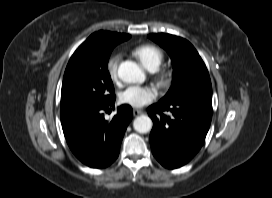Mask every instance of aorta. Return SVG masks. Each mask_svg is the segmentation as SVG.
Returning <instances> with one entry per match:
<instances>
[{
    "label": "aorta",
    "instance_id": "1",
    "mask_svg": "<svg viewBox=\"0 0 272 198\" xmlns=\"http://www.w3.org/2000/svg\"><path fill=\"white\" fill-rule=\"evenodd\" d=\"M118 77L126 83H143L145 73L133 61H124L118 68ZM133 127L138 133H148L152 129V120L146 115L135 118Z\"/></svg>",
    "mask_w": 272,
    "mask_h": 198
}]
</instances>
